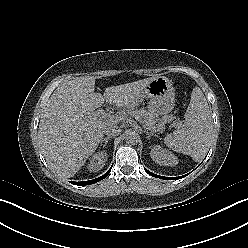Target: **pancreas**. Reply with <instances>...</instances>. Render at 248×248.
<instances>
[{"label": "pancreas", "mask_w": 248, "mask_h": 248, "mask_svg": "<svg viewBox=\"0 0 248 248\" xmlns=\"http://www.w3.org/2000/svg\"><path fill=\"white\" fill-rule=\"evenodd\" d=\"M127 113L133 117H139L150 129L160 130L163 128L161 124L155 126V123L158 121V119L154 114L147 112L144 108L135 109L133 106H131L127 108Z\"/></svg>", "instance_id": "1"}]
</instances>
